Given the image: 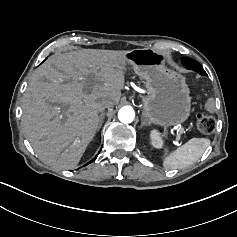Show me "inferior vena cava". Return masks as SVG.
I'll list each match as a JSON object with an SVG mask.
<instances>
[{
    "label": "inferior vena cava",
    "mask_w": 237,
    "mask_h": 237,
    "mask_svg": "<svg viewBox=\"0 0 237 237\" xmlns=\"http://www.w3.org/2000/svg\"><path fill=\"white\" fill-rule=\"evenodd\" d=\"M113 106V102L111 100H103L101 102V108L105 109V108H109Z\"/></svg>",
    "instance_id": "602c4592"
}]
</instances>
